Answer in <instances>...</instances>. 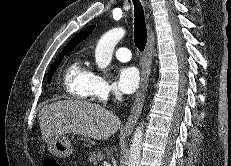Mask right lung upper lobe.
<instances>
[{"instance_id":"obj_1","label":"right lung upper lobe","mask_w":231,"mask_h":166,"mask_svg":"<svg viewBox=\"0 0 231 166\" xmlns=\"http://www.w3.org/2000/svg\"><path fill=\"white\" fill-rule=\"evenodd\" d=\"M94 25L89 26L79 32L75 37H73L69 43L65 46V48L60 52L62 53H70L77 45L79 42L83 41L93 30H94Z\"/></svg>"}]
</instances>
